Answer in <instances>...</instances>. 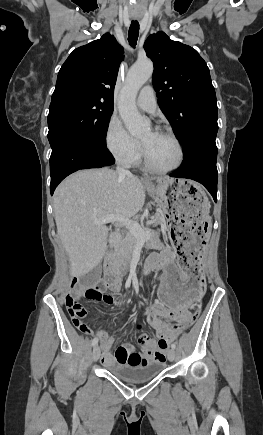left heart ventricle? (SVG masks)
Segmentation results:
<instances>
[{
    "instance_id": "1",
    "label": "left heart ventricle",
    "mask_w": 263,
    "mask_h": 435,
    "mask_svg": "<svg viewBox=\"0 0 263 435\" xmlns=\"http://www.w3.org/2000/svg\"><path fill=\"white\" fill-rule=\"evenodd\" d=\"M141 142L154 166L169 168L177 163L179 151L171 138L149 130L142 136Z\"/></svg>"
}]
</instances>
